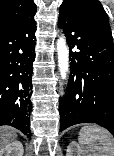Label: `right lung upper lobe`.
<instances>
[{
  "mask_svg": "<svg viewBox=\"0 0 114 156\" xmlns=\"http://www.w3.org/2000/svg\"><path fill=\"white\" fill-rule=\"evenodd\" d=\"M34 13L33 0H0V30Z\"/></svg>",
  "mask_w": 114,
  "mask_h": 156,
  "instance_id": "1",
  "label": "right lung upper lobe"
}]
</instances>
